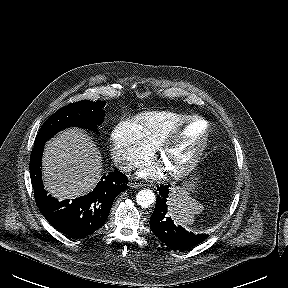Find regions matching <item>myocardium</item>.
Returning <instances> with one entry per match:
<instances>
[{"instance_id":"1","label":"myocardium","mask_w":288,"mask_h":288,"mask_svg":"<svg viewBox=\"0 0 288 288\" xmlns=\"http://www.w3.org/2000/svg\"><path fill=\"white\" fill-rule=\"evenodd\" d=\"M196 121L205 124V131L203 137L193 151V153L191 154V156L181 166L175 169L168 170V174L172 178L178 179L187 176L197 166L202 154L204 153L209 143L211 133L210 123L203 117L190 116L186 120L172 128L168 133H166L157 146L158 157L162 158L170 149L172 144L178 139L181 133L186 129V127Z\"/></svg>"}]
</instances>
